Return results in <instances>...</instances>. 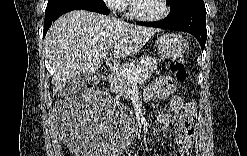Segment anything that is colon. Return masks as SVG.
Returning a JSON list of instances; mask_svg holds the SVG:
<instances>
[{"mask_svg":"<svg viewBox=\"0 0 247 156\" xmlns=\"http://www.w3.org/2000/svg\"><path fill=\"white\" fill-rule=\"evenodd\" d=\"M170 71L174 74L175 78L180 82H184L187 79V71L185 68L183 57L179 56L171 61ZM98 81H99L98 77L92 79L93 83H97Z\"/></svg>","mask_w":247,"mask_h":156,"instance_id":"1","label":"colon"}]
</instances>
